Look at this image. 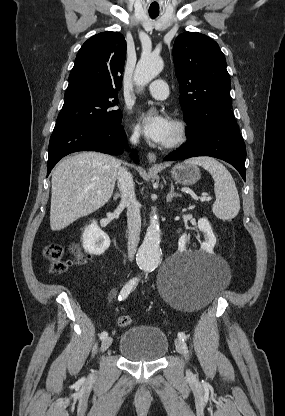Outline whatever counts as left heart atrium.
I'll list each match as a JSON object with an SVG mask.
<instances>
[{"label": "left heart atrium", "mask_w": 285, "mask_h": 416, "mask_svg": "<svg viewBox=\"0 0 285 416\" xmlns=\"http://www.w3.org/2000/svg\"><path fill=\"white\" fill-rule=\"evenodd\" d=\"M145 136L157 144H165L172 133V122L162 112H143L140 114Z\"/></svg>", "instance_id": "1"}]
</instances>
